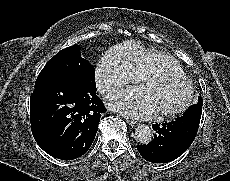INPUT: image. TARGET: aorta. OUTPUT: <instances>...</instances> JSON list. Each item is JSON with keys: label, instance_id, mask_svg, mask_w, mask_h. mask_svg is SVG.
Returning <instances> with one entry per match:
<instances>
[{"label": "aorta", "instance_id": "aorta-1", "mask_svg": "<svg viewBox=\"0 0 230 181\" xmlns=\"http://www.w3.org/2000/svg\"><path fill=\"white\" fill-rule=\"evenodd\" d=\"M134 137L139 144L147 145L153 139V131L148 125L141 124L135 129Z\"/></svg>", "mask_w": 230, "mask_h": 181}]
</instances>
